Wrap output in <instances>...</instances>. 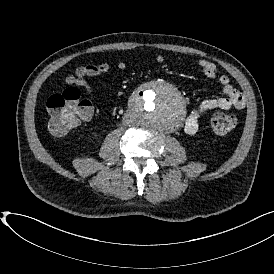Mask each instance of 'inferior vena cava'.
<instances>
[{
  "mask_svg": "<svg viewBox=\"0 0 274 274\" xmlns=\"http://www.w3.org/2000/svg\"><path fill=\"white\" fill-rule=\"evenodd\" d=\"M123 123L127 124V118L126 117H123Z\"/></svg>",
  "mask_w": 274,
  "mask_h": 274,
  "instance_id": "1",
  "label": "inferior vena cava"
}]
</instances>
